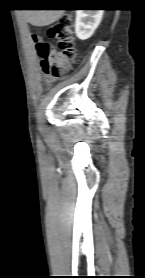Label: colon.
Here are the masks:
<instances>
[{
  "label": "colon",
  "mask_w": 145,
  "mask_h": 278,
  "mask_svg": "<svg viewBox=\"0 0 145 278\" xmlns=\"http://www.w3.org/2000/svg\"><path fill=\"white\" fill-rule=\"evenodd\" d=\"M71 27V17L61 15L47 30L48 38L56 40L57 45L48 40L37 42V50L42 59L41 69L48 77L53 79L65 77L76 60L77 48L71 35Z\"/></svg>",
  "instance_id": "1"
}]
</instances>
